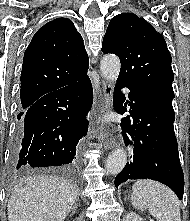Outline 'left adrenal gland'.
Returning <instances> with one entry per match:
<instances>
[{"label":"left adrenal gland","instance_id":"left-adrenal-gland-1","mask_svg":"<svg viewBox=\"0 0 190 221\" xmlns=\"http://www.w3.org/2000/svg\"><path fill=\"white\" fill-rule=\"evenodd\" d=\"M129 198H130V196H126V197H125V199H127V200H128Z\"/></svg>","mask_w":190,"mask_h":221}]
</instances>
